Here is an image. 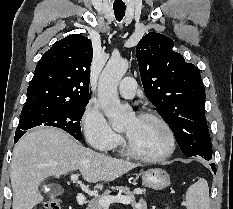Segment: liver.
<instances>
[{
  "instance_id": "liver-1",
  "label": "liver",
  "mask_w": 233,
  "mask_h": 209,
  "mask_svg": "<svg viewBox=\"0 0 233 209\" xmlns=\"http://www.w3.org/2000/svg\"><path fill=\"white\" fill-rule=\"evenodd\" d=\"M137 164L112 158L82 146L66 132L40 127L15 145L10 167L12 209H32L44 197L38 191L50 176L79 170L87 182L113 181Z\"/></svg>"
}]
</instances>
